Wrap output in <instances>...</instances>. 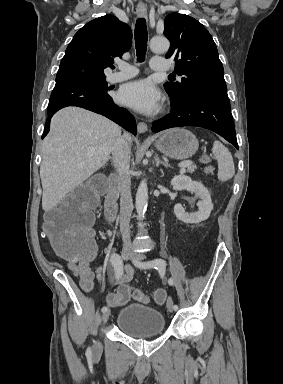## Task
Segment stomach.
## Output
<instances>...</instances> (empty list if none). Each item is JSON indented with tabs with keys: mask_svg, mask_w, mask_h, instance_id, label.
<instances>
[{
	"mask_svg": "<svg viewBox=\"0 0 283 384\" xmlns=\"http://www.w3.org/2000/svg\"><path fill=\"white\" fill-rule=\"evenodd\" d=\"M154 140V138H152ZM155 148L175 160H187L198 150V140L188 130L172 128L164 132L155 142Z\"/></svg>",
	"mask_w": 283,
	"mask_h": 384,
	"instance_id": "1",
	"label": "stomach"
}]
</instances>
